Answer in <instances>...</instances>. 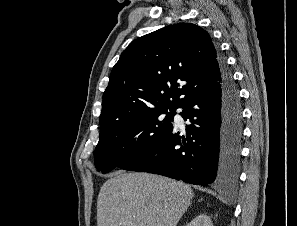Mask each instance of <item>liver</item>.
<instances>
[{
    "label": "liver",
    "mask_w": 297,
    "mask_h": 226,
    "mask_svg": "<svg viewBox=\"0 0 297 226\" xmlns=\"http://www.w3.org/2000/svg\"><path fill=\"white\" fill-rule=\"evenodd\" d=\"M193 197L182 182L117 171L100 189L97 226H176Z\"/></svg>",
    "instance_id": "1"
}]
</instances>
